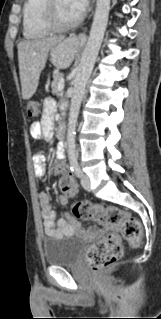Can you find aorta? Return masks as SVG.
Returning <instances> with one entry per match:
<instances>
[{
    "mask_svg": "<svg viewBox=\"0 0 161 319\" xmlns=\"http://www.w3.org/2000/svg\"><path fill=\"white\" fill-rule=\"evenodd\" d=\"M109 9L110 0H97L90 35L82 53L78 72L73 81V96L71 98L67 131L68 157L72 166L77 164L75 136L79 110L104 37Z\"/></svg>",
    "mask_w": 161,
    "mask_h": 319,
    "instance_id": "obj_1",
    "label": "aorta"
}]
</instances>
